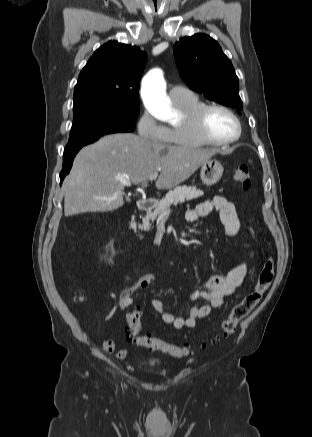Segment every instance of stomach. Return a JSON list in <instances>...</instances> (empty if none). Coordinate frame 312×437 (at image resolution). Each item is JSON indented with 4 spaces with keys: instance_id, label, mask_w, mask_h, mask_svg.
I'll return each mask as SVG.
<instances>
[{
    "instance_id": "1",
    "label": "stomach",
    "mask_w": 312,
    "mask_h": 437,
    "mask_svg": "<svg viewBox=\"0 0 312 437\" xmlns=\"http://www.w3.org/2000/svg\"><path fill=\"white\" fill-rule=\"evenodd\" d=\"M223 166L214 159H209L201 165L200 178L208 186L216 184L222 177Z\"/></svg>"
}]
</instances>
